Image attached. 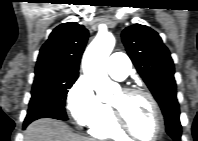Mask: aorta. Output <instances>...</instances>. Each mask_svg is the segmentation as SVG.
<instances>
[{
  "label": "aorta",
  "mask_w": 198,
  "mask_h": 141,
  "mask_svg": "<svg viewBox=\"0 0 198 141\" xmlns=\"http://www.w3.org/2000/svg\"><path fill=\"white\" fill-rule=\"evenodd\" d=\"M115 37L108 32L98 33L87 47L83 60V72L89 85L96 91L100 101L109 102L119 86L112 82L106 69V62L115 46Z\"/></svg>",
  "instance_id": "aorta-1"
}]
</instances>
